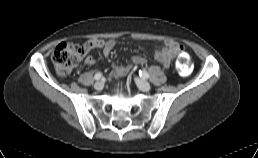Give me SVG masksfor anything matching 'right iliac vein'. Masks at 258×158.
Segmentation results:
<instances>
[{"label":"right iliac vein","instance_id":"1","mask_svg":"<svg viewBox=\"0 0 258 158\" xmlns=\"http://www.w3.org/2000/svg\"><path fill=\"white\" fill-rule=\"evenodd\" d=\"M104 87V83L102 81H98L94 84V88L98 91L102 90Z\"/></svg>","mask_w":258,"mask_h":158}]
</instances>
